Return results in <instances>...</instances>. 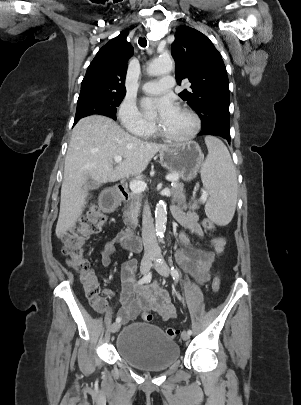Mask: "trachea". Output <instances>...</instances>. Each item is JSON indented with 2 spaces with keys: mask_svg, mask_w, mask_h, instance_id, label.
<instances>
[{
  "mask_svg": "<svg viewBox=\"0 0 301 405\" xmlns=\"http://www.w3.org/2000/svg\"><path fill=\"white\" fill-rule=\"evenodd\" d=\"M138 43L141 47L145 48L147 46V40L145 37H140Z\"/></svg>",
  "mask_w": 301,
  "mask_h": 405,
  "instance_id": "obj_1",
  "label": "trachea"
}]
</instances>
